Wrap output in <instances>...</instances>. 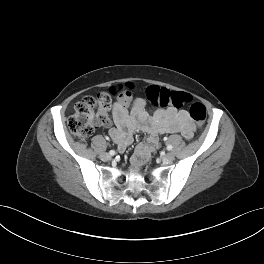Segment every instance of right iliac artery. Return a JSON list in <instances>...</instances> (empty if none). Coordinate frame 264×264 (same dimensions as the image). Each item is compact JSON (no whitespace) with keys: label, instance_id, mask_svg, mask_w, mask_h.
Returning a JSON list of instances; mask_svg holds the SVG:
<instances>
[{"label":"right iliac artery","instance_id":"82829eb1","mask_svg":"<svg viewBox=\"0 0 264 264\" xmlns=\"http://www.w3.org/2000/svg\"><path fill=\"white\" fill-rule=\"evenodd\" d=\"M109 154L110 155H115V151L114 150H110Z\"/></svg>","mask_w":264,"mask_h":264}]
</instances>
